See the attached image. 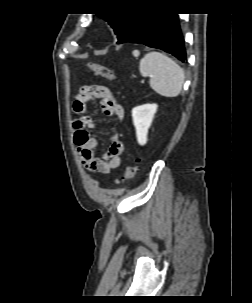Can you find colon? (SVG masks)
I'll list each match as a JSON object with an SVG mask.
<instances>
[{
	"label": "colon",
	"mask_w": 252,
	"mask_h": 303,
	"mask_svg": "<svg viewBox=\"0 0 252 303\" xmlns=\"http://www.w3.org/2000/svg\"><path fill=\"white\" fill-rule=\"evenodd\" d=\"M86 67L91 70L95 75H98L102 78L108 79V80H114L116 78L115 73L113 70L108 68L107 66H104L102 64L94 63V62H88L86 64ZM138 172V167L136 164H128L123 176L124 181L131 180L136 176Z\"/></svg>",
	"instance_id": "colon-1"
}]
</instances>
